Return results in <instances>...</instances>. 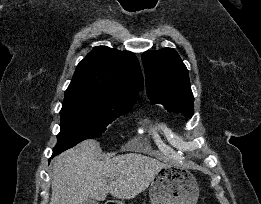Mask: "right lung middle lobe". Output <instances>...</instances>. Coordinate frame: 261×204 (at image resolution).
Returning <instances> with one entry per match:
<instances>
[{"label":"right lung middle lobe","instance_id":"1","mask_svg":"<svg viewBox=\"0 0 261 204\" xmlns=\"http://www.w3.org/2000/svg\"><path fill=\"white\" fill-rule=\"evenodd\" d=\"M134 104L102 103L88 95L65 97L60 111L61 131L53 151L61 153L85 139L100 137L112 121Z\"/></svg>","mask_w":261,"mask_h":204}]
</instances>
